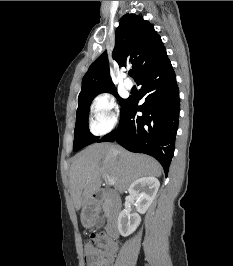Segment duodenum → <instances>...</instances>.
<instances>
[{
	"instance_id": "obj_1",
	"label": "duodenum",
	"mask_w": 233,
	"mask_h": 266,
	"mask_svg": "<svg viewBox=\"0 0 233 266\" xmlns=\"http://www.w3.org/2000/svg\"><path fill=\"white\" fill-rule=\"evenodd\" d=\"M92 202L98 203L105 200L106 210H107V225L106 233L112 238L116 239L119 237V214H120V203L113 197L108 196L104 191L99 190L92 195Z\"/></svg>"
}]
</instances>
